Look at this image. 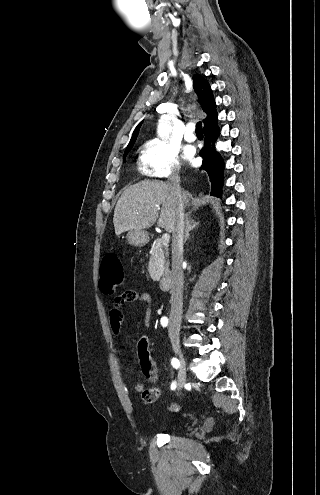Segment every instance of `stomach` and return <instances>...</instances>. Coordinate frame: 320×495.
I'll use <instances>...</instances> for the list:
<instances>
[{
    "label": "stomach",
    "mask_w": 320,
    "mask_h": 495,
    "mask_svg": "<svg viewBox=\"0 0 320 495\" xmlns=\"http://www.w3.org/2000/svg\"><path fill=\"white\" fill-rule=\"evenodd\" d=\"M127 241L130 245L136 246V247H141L145 245L148 240L149 236L148 233L145 230H129L127 235Z\"/></svg>",
    "instance_id": "1"
}]
</instances>
